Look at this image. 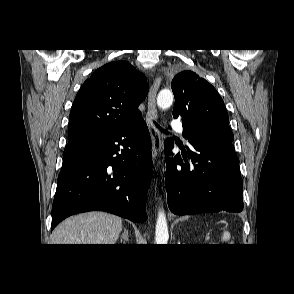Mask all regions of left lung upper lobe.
Wrapping results in <instances>:
<instances>
[{
	"label": "left lung upper lobe",
	"mask_w": 294,
	"mask_h": 294,
	"mask_svg": "<svg viewBox=\"0 0 294 294\" xmlns=\"http://www.w3.org/2000/svg\"><path fill=\"white\" fill-rule=\"evenodd\" d=\"M171 87L173 117L183 120L185 138L233 141L224 102L210 83L192 71H182L173 78Z\"/></svg>",
	"instance_id": "left-lung-upper-lobe-1"
}]
</instances>
